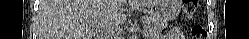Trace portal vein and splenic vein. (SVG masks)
<instances>
[{
    "instance_id": "1",
    "label": "portal vein and splenic vein",
    "mask_w": 249,
    "mask_h": 39,
    "mask_svg": "<svg viewBox=\"0 0 249 39\" xmlns=\"http://www.w3.org/2000/svg\"><path fill=\"white\" fill-rule=\"evenodd\" d=\"M96 27H104V26L102 24H100V23H97Z\"/></svg>"
}]
</instances>
